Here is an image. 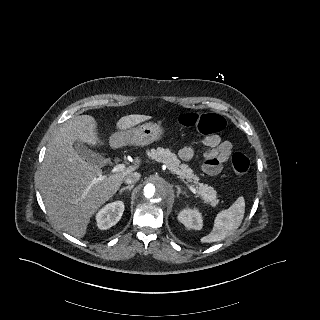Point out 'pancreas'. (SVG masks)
Returning a JSON list of instances; mask_svg holds the SVG:
<instances>
[{
    "label": "pancreas",
    "mask_w": 320,
    "mask_h": 320,
    "mask_svg": "<svg viewBox=\"0 0 320 320\" xmlns=\"http://www.w3.org/2000/svg\"><path fill=\"white\" fill-rule=\"evenodd\" d=\"M147 155L149 158L166 165L170 173L197 183L198 177L194 175L193 170L186 164H181L180 160L170 149L158 147L157 149L148 151ZM198 195L204 200L205 204H209L212 207H216L219 202L216 190L206 184H198Z\"/></svg>",
    "instance_id": "cf45deb5"
}]
</instances>
